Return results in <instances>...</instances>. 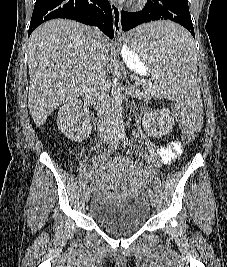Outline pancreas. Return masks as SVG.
<instances>
[{
  "label": "pancreas",
  "instance_id": "pancreas-1",
  "mask_svg": "<svg viewBox=\"0 0 227 267\" xmlns=\"http://www.w3.org/2000/svg\"><path fill=\"white\" fill-rule=\"evenodd\" d=\"M140 84L143 86V89L147 92V93H151L152 91L155 90V86H151L149 83L140 80L139 81Z\"/></svg>",
  "mask_w": 227,
  "mask_h": 267
}]
</instances>
